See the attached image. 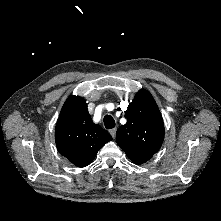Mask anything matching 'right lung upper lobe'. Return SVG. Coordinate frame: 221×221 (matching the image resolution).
<instances>
[{"label": "right lung upper lobe", "instance_id": "right-lung-upper-lobe-1", "mask_svg": "<svg viewBox=\"0 0 221 221\" xmlns=\"http://www.w3.org/2000/svg\"><path fill=\"white\" fill-rule=\"evenodd\" d=\"M111 135L93 123L86 101L71 95L65 101L55 128L59 152L78 167L89 165Z\"/></svg>", "mask_w": 221, "mask_h": 221}]
</instances>
